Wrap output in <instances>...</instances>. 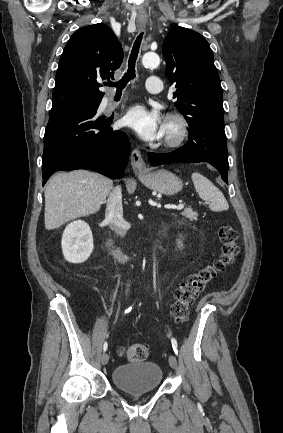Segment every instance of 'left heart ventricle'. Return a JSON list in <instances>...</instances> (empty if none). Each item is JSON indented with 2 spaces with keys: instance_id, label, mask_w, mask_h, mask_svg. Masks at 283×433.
Segmentation results:
<instances>
[{
  "instance_id": "1",
  "label": "left heart ventricle",
  "mask_w": 283,
  "mask_h": 433,
  "mask_svg": "<svg viewBox=\"0 0 283 433\" xmlns=\"http://www.w3.org/2000/svg\"><path fill=\"white\" fill-rule=\"evenodd\" d=\"M176 129V125L174 123L165 122V133L167 131H174Z\"/></svg>"
}]
</instances>
